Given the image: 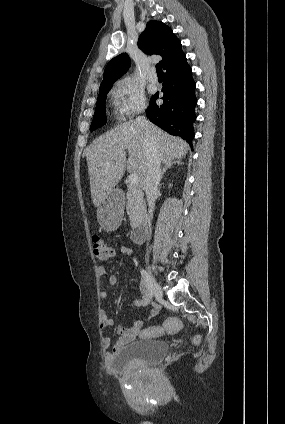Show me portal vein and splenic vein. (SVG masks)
<instances>
[{
  "instance_id": "portal-vein-and-splenic-vein-1",
  "label": "portal vein and splenic vein",
  "mask_w": 285,
  "mask_h": 424,
  "mask_svg": "<svg viewBox=\"0 0 285 424\" xmlns=\"http://www.w3.org/2000/svg\"><path fill=\"white\" fill-rule=\"evenodd\" d=\"M139 177L137 173H131L128 177L129 186L135 187L138 185Z\"/></svg>"
}]
</instances>
